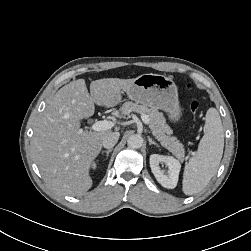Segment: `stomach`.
I'll list each match as a JSON object with an SVG mask.
<instances>
[{"label": "stomach", "mask_w": 251, "mask_h": 251, "mask_svg": "<svg viewBox=\"0 0 251 251\" xmlns=\"http://www.w3.org/2000/svg\"><path fill=\"white\" fill-rule=\"evenodd\" d=\"M124 91L137 104L165 111L170 121L174 123L179 122L182 117L177 86L170 77L153 73L142 74ZM120 93L115 95L111 105L120 102Z\"/></svg>", "instance_id": "obj_1"}]
</instances>
